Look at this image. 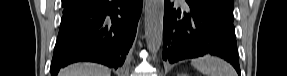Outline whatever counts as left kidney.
<instances>
[{
	"instance_id": "obj_1",
	"label": "left kidney",
	"mask_w": 287,
	"mask_h": 76,
	"mask_svg": "<svg viewBox=\"0 0 287 76\" xmlns=\"http://www.w3.org/2000/svg\"><path fill=\"white\" fill-rule=\"evenodd\" d=\"M181 76H187L186 74H181Z\"/></svg>"
}]
</instances>
